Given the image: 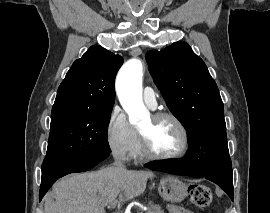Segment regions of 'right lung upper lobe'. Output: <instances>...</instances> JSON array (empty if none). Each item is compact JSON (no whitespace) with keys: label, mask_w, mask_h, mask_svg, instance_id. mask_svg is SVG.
Returning <instances> with one entry per match:
<instances>
[{"label":"right lung upper lobe","mask_w":270,"mask_h":213,"mask_svg":"<svg viewBox=\"0 0 270 213\" xmlns=\"http://www.w3.org/2000/svg\"><path fill=\"white\" fill-rule=\"evenodd\" d=\"M123 58L94 45L74 61L60 84L52 112L63 110L111 111L115 77Z\"/></svg>","instance_id":"right-lung-upper-lobe-1"}]
</instances>
